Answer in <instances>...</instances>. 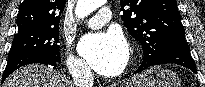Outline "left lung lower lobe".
Here are the masks:
<instances>
[{
	"mask_svg": "<svg viewBox=\"0 0 205 87\" xmlns=\"http://www.w3.org/2000/svg\"><path fill=\"white\" fill-rule=\"evenodd\" d=\"M167 63H175L184 66L196 73V65L191 57L190 48L185 38H179L167 44L160 57L153 62L143 61L136 73L143 71L150 66Z\"/></svg>",
	"mask_w": 205,
	"mask_h": 87,
	"instance_id": "obj_1",
	"label": "left lung lower lobe"
}]
</instances>
